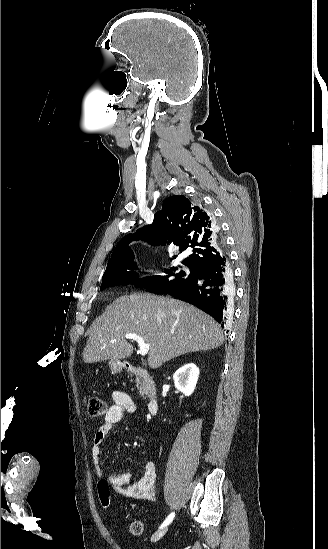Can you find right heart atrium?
I'll use <instances>...</instances> for the list:
<instances>
[{
	"label": "right heart atrium",
	"instance_id": "d8ad5b80",
	"mask_svg": "<svg viewBox=\"0 0 328 549\" xmlns=\"http://www.w3.org/2000/svg\"><path fill=\"white\" fill-rule=\"evenodd\" d=\"M146 284H147V279L144 276H138L134 278L130 284V289H131L130 299H133L136 296L135 291H138L139 289L143 288Z\"/></svg>",
	"mask_w": 328,
	"mask_h": 549
}]
</instances>
